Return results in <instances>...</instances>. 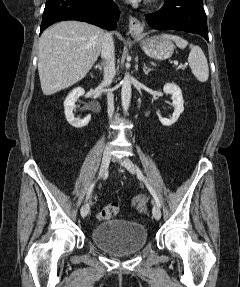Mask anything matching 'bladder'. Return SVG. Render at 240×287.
I'll return each instance as SVG.
<instances>
[{
  "instance_id": "bladder-1",
  "label": "bladder",
  "mask_w": 240,
  "mask_h": 287,
  "mask_svg": "<svg viewBox=\"0 0 240 287\" xmlns=\"http://www.w3.org/2000/svg\"><path fill=\"white\" fill-rule=\"evenodd\" d=\"M91 241L103 251L124 256L142 250L148 242L145 225L125 219L111 220L95 226Z\"/></svg>"
}]
</instances>
